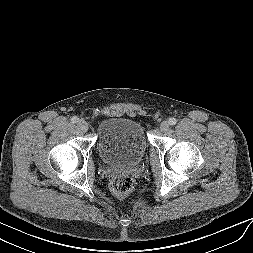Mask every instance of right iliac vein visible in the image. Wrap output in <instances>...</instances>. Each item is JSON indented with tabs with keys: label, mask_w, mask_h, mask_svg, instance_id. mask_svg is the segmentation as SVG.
Wrapping results in <instances>:
<instances>
[{
	"label": "right iliac vein",
	"mask_w": 253,
	"mask_h": 253,
	"mask_svg": "<svg viewBox=\"0 0 253 253\" xmlns=\"http://www.w3.org/2000/svg\"><path fill=\"white\" fill-rule=\"evenodd\" d=\"M77 125H78V128L83 132H86L89 128V125L85 120L78 121Z\"/></svg>",
	"instance_id": "obj_1"
}]
</instances>
